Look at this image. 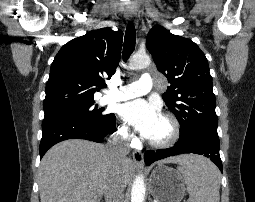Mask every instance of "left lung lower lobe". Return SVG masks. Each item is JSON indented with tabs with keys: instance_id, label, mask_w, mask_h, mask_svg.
Masks as SVG:
<instances>
[{
	"instance_id": "left-lung-lower-lobe-1",
	"label": "left lung lower lobe",
	"mask_w": 255,
	"mask_h": 202,
	"mask_svg": "<svg viewBox=\"0 0 255 202\" xmlns=\"http://www.w3.org/2000/svg\"><path fill=\"white\" fill-rule=\"evenodd\" d=\"M182 153H195L208 157L222 171V162L219 155V137L202 135L198 137L181 140L171 148L148 150L144 154L146 165H150L156 160Z\"/></svg>"
}]
</instances>
